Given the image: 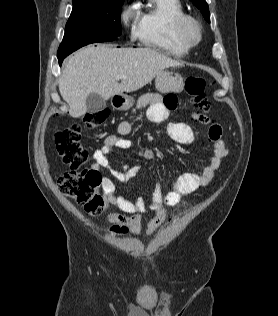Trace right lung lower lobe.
I'll use <instances>...</instances> for the list:
<instances>
[{
	"mask_svg": "<svg viewBox=\"0 0 278 316\" xmlns=\"http://www.w3.org/2000/svg\"><path fill=\"white\" fill-rule=\"evenodd\" d=\"M63 59H64V57H58L59 65H61Z\"/></svg>",
	"mask_w": 278,
	"mask_h": 316,
	"instance_id": "right-lung-lower-lobe-1",
	"label": "right lung lower lobe"
}]
</instances>
